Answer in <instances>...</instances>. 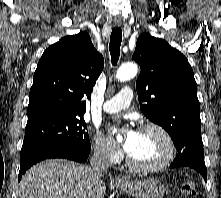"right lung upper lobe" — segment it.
I'll return each instance as SVG.
<instances>
[{"label": "right lung upper lobe", "instance_id": "cb5924a9", "mask_svg": "<svg viewBox=\"0 0 221 198\" xmlns=\"http://www.w3.org/2000/svg\"><path fill=\"white\" fill-rule=\"evenodd\" d=\"M104 67L87 32L67 36L43 53L29 93L28 121L49 115L84 114Z\"/></svg>", "mask_w": 221, "mask_h": 198}]
</instances>
